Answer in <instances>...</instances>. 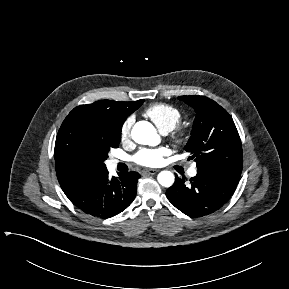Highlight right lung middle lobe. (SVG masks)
Listing matches in <instances>:
<instances>
[{"instance_id":"1","label":"right lung middle lobe","mask_w":289,"mask_h":289,"mask_svg":"<svg viewBox=\"0 0 289 289\" xmlns=\"http://www.w3.org/2000/svg\"><path fill=\"white\" fill-rule=\"evenodd\" d=\"M122 125L112 119L66 117L56 137V163L76 179L90 180L101 174L107 170V153L119 146Z\"/></svg>"}]
</instances>
